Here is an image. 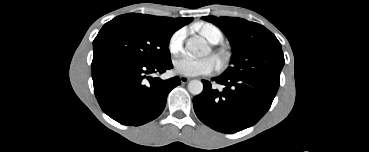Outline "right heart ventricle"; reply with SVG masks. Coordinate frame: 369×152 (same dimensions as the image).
I'll return each instance as SVG.
<instances>
[{"instance_id": "e07e8e85", "label": "right heart ventricle", "mask_w": 369, "mask_h": 152, "mask_svg": "<svg viewBox=\"0 0 369 152\" xmlns=\"http://www.w3.org/2000/svg\"><path fill=\"white\" fill-rule=\"evenodd\" d=\"M197 32L210 43H218L222 39L220 30L209 23H201L196 27Z\"/></svg>"}]
</instances>
